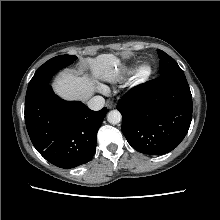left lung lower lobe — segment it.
Wrapping results in <instances>:
<instances>
[{
    "mask_svg": "<svg viewBox=\"0 0 220 220\" xmlns=\"http://www.w3.org/2000/svg\"><path fill=\"white\" fill-rule=\"evenodd\" d=\"M122 132L138 152L162 155L189 130L192 95L184 72L160 75L127 92L118 102Z\"/></svg>",
    "mask_w": 220,
    "mask_h": 220,
    "instance_id": "obj_1",
    "label": "left lung lower lobe"
}]
</instances>
